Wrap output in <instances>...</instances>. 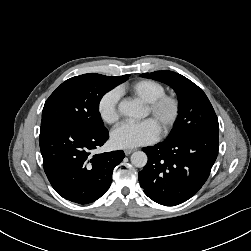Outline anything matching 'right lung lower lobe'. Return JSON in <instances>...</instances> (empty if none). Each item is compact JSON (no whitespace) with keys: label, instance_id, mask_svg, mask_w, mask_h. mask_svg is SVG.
<instances>
[{"label":"right lung lower lobe","instance_id":"98d812e1","mask_svg":"<svg viewBox=\"0 0 251 251\" xmlns=\"http://www.w3.org/2000/svg\"><path fill=\"white\" fill-rule=\"evenodd\" d=\"M108 137L106 128L92 130L66 122L41 127L39 143L44 171L60 196L87 204L109 189L113 169L125 157L124 152L91 155Z\"/></svg>","mask_w":251,"mask_h":251}]
</instances>
